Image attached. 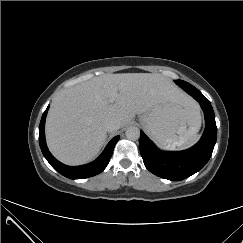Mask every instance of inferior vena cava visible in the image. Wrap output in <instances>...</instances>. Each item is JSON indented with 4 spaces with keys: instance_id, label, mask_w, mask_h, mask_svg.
<instances>
[{
    "instance_id": "inferior-vena-cava-1",
    "label": "inferior vena cava",
    "mask_w": 243,
    "mask_h": 243,
    "mask_svg": "<svg viewBox=\"0 0 243 243\" xmlns=\"http://www.w3.org/2000/svg\"><path fill=\"white\" fill-rule=\"evenodd\" d=\"M105 127L108 132L116 131L120 128V123L116 119H110L106 121Z\"/></svg>"
}]
</instances>
